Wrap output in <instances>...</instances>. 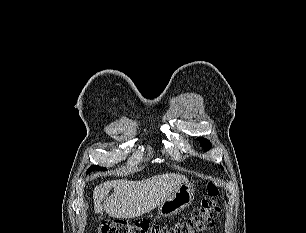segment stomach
I'll use <instances>...</instances> for the list:
<instances>
[{
	"mask_svg": "<svg viewBox=\"0 0 306 233\" xmlns=\"http://www.w3.org/2000/svg\"><path fill=\"white\" fill-rule=\"evenodd\" d=\"M193 199V185L189 182L183 183L164 202L158 205V213L164 217L173 216L188 207Z\"/></svg>",
	"mask_w": 306,
	"mask_h": 233,
	"instance_id": "stomach-1",
	"label": "stomach"
}]
</instances>
